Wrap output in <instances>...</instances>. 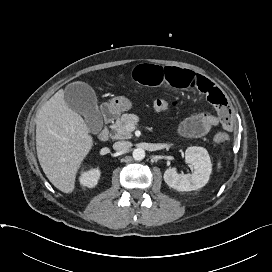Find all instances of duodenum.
<instances>
[{
	"mask_svg": "<svg viewBox=\"0 0 272 272\" xmlns=\"http://www.w3.org/2000/svg\"><path fill=\"white\" fill-rule=\"evenodd\" d=\"M115 118V111L110 108V107H105L103 110H102V113H101V123H102V126H101V129L98 133V138L102 141H105L108 139L109 137V131H108V128H107V125L112 122Z\"/></svg>",
	"mask_w": 272,
	"mask_h": 272,
	"instance_id": "1",
	"label": "duodenum"
}]
</instances>
